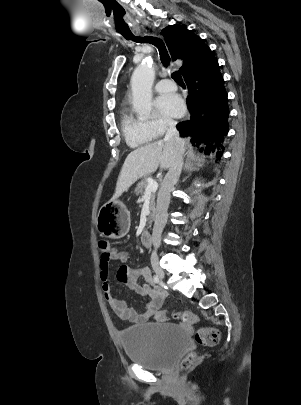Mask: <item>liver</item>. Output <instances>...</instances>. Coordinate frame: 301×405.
I'll return each instance as SVG.
<instances>
[{"mask_svg": "<svg viewBox=\"0 0 301 405\" xmlns=\"http://www.w3.org/2000/svg\"><path fill=\"white\" fill-rule=\"evenodd\" d=\"M172 141L159 140L133 150L125 159L111 201L119 198L137 180L154 173L160 166L168 169L179 153Z\"/></svg>", "mask_w": 301, "mask_h": 405, "instance_id": "1", "label": "liver"}]
</instances>
